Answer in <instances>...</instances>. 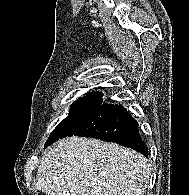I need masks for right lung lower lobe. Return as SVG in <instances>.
I'll list each match as a JSON object with an SVG mask.
<instances>
[{"instance_id":"obj_1","label":"right lung lower lobe","mask_w":189,"mask_h":195,"mask_svg":"<svg viewBox=\"0 0 189 195\" xmlns=\"http://www.w3.org/2000/svg\"><path fill=\"white\" fill-rule=\"evenodd\" d=\"M71 136L115 142L148 157V149L140 138L137 121L121 105H100L90 119Z\"/></svg>"}]
</instances>
